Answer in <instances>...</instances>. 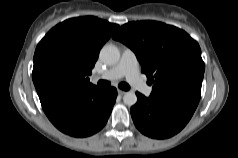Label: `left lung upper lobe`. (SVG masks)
<instances>
[{"label":"left lung upper lobe","instance_id":"left-lung-upper-lobe-1","mask_svg":"<svg viewBox=\"0 0 238 158\" xmlns=\"http://www.w3.org/2000/svg\"><path fill=\"white\" fill-rule=\"evenodd\" d=\"M113 38L134 51L148 83L153 84L152 93L201 88L205 70L201 49L185 31L161 22L138 21L123 25Z\"/></svg>","mask_w":238,"mask_h":158}]
</instances>
